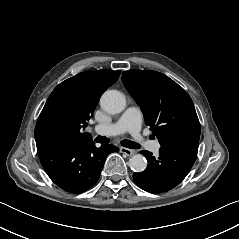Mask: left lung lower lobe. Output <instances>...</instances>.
Returning a JSON list of instances; mask_svg holds the SVG:
<instances>
[{
  "label": "left lung lower lobe",
  "instance_id": "left-lung-lower-lobe-1",
  "mask_svg": "<svg viewBox=\"0 0 239 239\" xmlns=\"http://www.w3.org/2000/svg\"><path fill=\"white\" fill-rule=\"evenodd\" d=\"M198 152L197 144L173 143L161 146L159 156L141 151L148 161L147 169L134 173L135 183L143 190L157 194L171 190L189 173Z\"/></svg>",
  "mask_w": 239,
  "mask_h": 239
}]
</instances>
